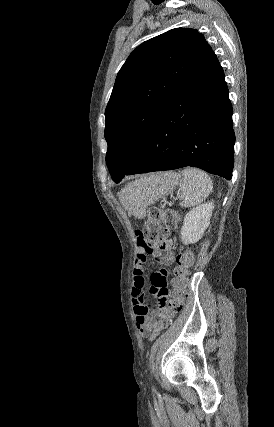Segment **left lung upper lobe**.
Listing matches in <instances>:
<instances>
[{
  "label": "left lung upper lobe",
  "instance_id": "left-lung-upper-lobe-1",
  "mask_svg": "<svg viewBox=\"0 0 274 427\" xmlns=\"http://www.w3.org/2000/svg\"><path fill=\"white\" fill-rule=\"evenodd\" d=\"M211 51L197 30L175 28L130 54L105 110L106 164L112 178L140 156L164 110Z\"/></svg>",
  "mask_w": 274,
  "mask_h": 427
}]
</instances>
